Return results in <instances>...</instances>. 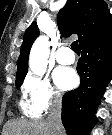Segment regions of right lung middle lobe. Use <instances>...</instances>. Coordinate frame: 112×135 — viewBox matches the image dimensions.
Here are the masks:
<instances>
[{
    "label": "right lung middle lobe",
    "instance_id": "dd1d6c3e",
    "mask_svg": "<svg viewBox=\"0 0 112 135\" xmlns=\"http://www.w3.org/2000/svg\"><path fill=\"white\" fill-rule=\"evenodd\" d=\"M23 80H24V77L23 78H20V79H16V87H17V89L20 88V86L23 83Z\"/></svg>",
    "mask_w": 112,
    "mask_h": 135
}]
</instances>
